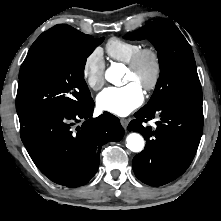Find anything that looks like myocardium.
<instances>
[{"label": "myocardium", "mask_w": 221, "mask_h": 221, "mask_svg": "<svg viewBox=\"0 0 221 221\" xmlns=\"http://www.w3.org/2000/svg\"><path fill=\"white\" fill-rule=\"evenodd\" d=\"M147 61L151 63V74L147 80L142 82L141 86L146 91H152L157 87L162 71L161 58L157 49L141 47L127 63V66L131 72L138 74Z\"/></svg>", "instance_id": "myocardium-1"}]
</instances>
